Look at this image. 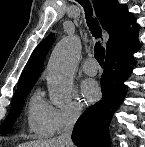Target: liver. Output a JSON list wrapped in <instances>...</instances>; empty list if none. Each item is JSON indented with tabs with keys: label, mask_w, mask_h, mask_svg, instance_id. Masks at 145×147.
<instances>
[{
	"label": "liver",
	"mask_w": 145,
	"mask_h": 147,
	"mask_svg": "<svg viewBox=\"0 0 145 147\" xmlns=\"http://www.w3.org/2000/svg\"><path fill=\"white\" fill-rule=\"evenodd\" d=\"M18 147H61L56 139L37 140L20 144Z\"/></svg>",
	"instance_id": "6515ba94"
}]
</instances>
